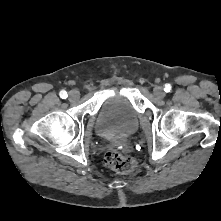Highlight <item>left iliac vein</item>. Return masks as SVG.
<instances>
[{
  "mask_svg": "<svg viewBox=\"0 0 221 221\" xmlns=\"http://www.w3.org/2000/svg\"><path fill=\"white\" fill-rule=\"evenodd\" d=\"M154 95L158 98H163L165 96V92L162 87L156 86L153 90Z\"/></svg>",
  "mask_w": 221,
  "mask_h": 221,
  "instance_id": "left-iliac-vein-1",
  "label": "left iliac vein"
}]
</instances>
